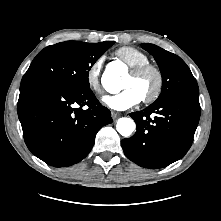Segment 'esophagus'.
<instances>
[{
	"mask_svg": "<svg viewBox=\"0 0 221 221\" xmlns=\"http://www.w3.org/2000/svg\"><path fill=\"white\" fill-rule=\"evenodd\" d=\"M111 116H112L113 120H116V119H118L121 116V113L116 112V111H112L111 112Z\"/></svg>",
	"mask_w": 221,
	"mask_h": 221,
	"instance_id": "obj_1",
	"label": "esophagus"
}]
</instances>
